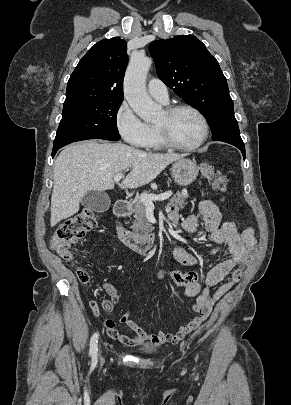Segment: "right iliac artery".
I'll list each match as a JSON object with an SVG mask.
<instances>
[{"instance_id": "right-iliac-artery-1", "label": "right iliac artery", "mask_w": 291, "mask_h": 405, "mask_svg": "<svg viewBox=\"0 0 291 405\" xmlns=\"http://www.w3.org/2000/svg\"><path fill=\"white\" fill-rule=\"evenodd\" d=\"M98 337H99V333L98 332H96V333H94L93 334V336L91 337V340H90V355L93 357V358H96L97 357V343H98Z\"/></svg>"}]
</instances>
